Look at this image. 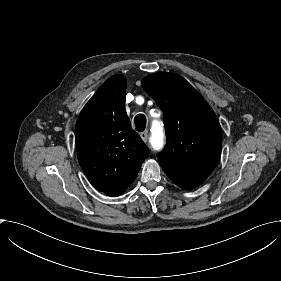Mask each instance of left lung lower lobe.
Segmentation results:
<instances>
[{
	"label": "left lung lower lobe",
	"instance_id": "obj_1",
	"mask_svg": "<svg viewBox=\"0 0 281 281\" xmlns=\"http://www.w3.org/2000/svg\"><path fill=\"white\" fill-rule=\"evenodd\" d=\"M167 176L179 187L190 190L200 185L210 173L189 172L176 169L170 165L160 163Z\"/></svg>",
	"mask_w": 281,
	"mask_h": 281
}]
</instances>
